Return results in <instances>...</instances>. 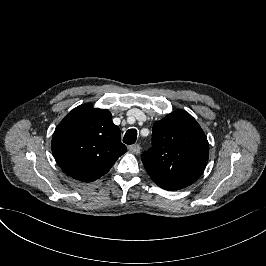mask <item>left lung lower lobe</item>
Masks as SVG:
<instances>
[{"mask_svg":"<svg viewBox=\"0 0 266 266\" xmlns=\"http://www.w3.org/2000/svg\"><path fill=\"white\" fill-rule=\"evenodd\" d=\"M157 185L160 186L163 189H166V190H177V189H174V188H172L170 186H165V185H160V184H157Z\"/></svg>","mask_w":266,"mask_h":266,"instance_id":"1","label":"left lung lower lobe"}]
</instances>
